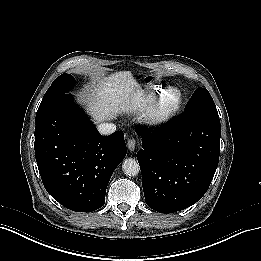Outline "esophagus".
<instances>
[{"instance_id":"esophagus-1","label":"esophagus","mask_w":261,"mask_h":261,"mask_svg":"<svg viewBox=\"0 0 261 261\" xmlns=\"http://www.w3.org/2000/svg\"><path fill=\"white\" fill-rule=\"evenodd\" d=\"M127 147L130 151H134L136 148V140L135 139H129L127 142Z\"/></svg>"}]
</instances>
